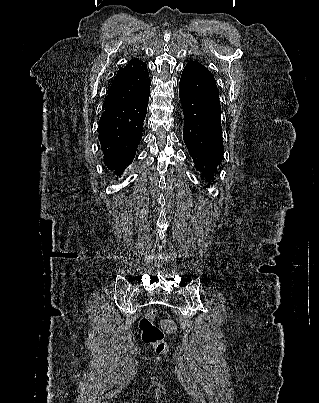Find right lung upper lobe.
<instances>
[{
	"mask_svg": "<svg viewBox=\"0 0 319 403\" xmlns=\"http://www.w3.org/2000/svg\"><path fill=\"white\" fill-rule=\"evenodd\" d=\"M147 64L133 58L125 67L119 68L112 81L103 109L123 105L142 97L150 91Z\"/></svg>",
	"mask_w": 319,
	"mask_h": 403,
	"instance_id": "right-lung-upper-lobe-1",
	"label": "right lung upper lobe"
}]
</instances>
